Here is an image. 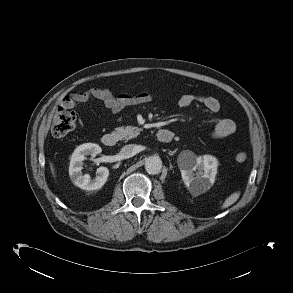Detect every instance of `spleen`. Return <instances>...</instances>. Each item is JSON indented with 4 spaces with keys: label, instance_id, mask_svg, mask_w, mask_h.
Listing matches in <instances>:
<instances>
[{
    "label": "spleen",
    "instance_id": "3e777b00",
    "mask_svg": "<svg viewBox=\"0 0 293 293\" xmlns=\"http://www.w3.org/2000/svg\"><path fill=\"white\" fill-rule=\"evenodd\" d=\"M240 196L239 192H235L233 194H231L223 203L222 208H227L229 206H231L232 204H234L238 198Z\"/></svg>",
    "mask_w": 293,
    "mask_h": 293
}]
</instances>
